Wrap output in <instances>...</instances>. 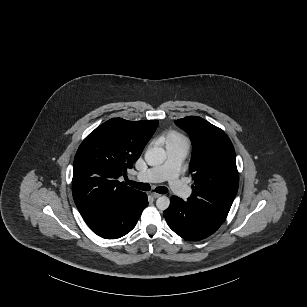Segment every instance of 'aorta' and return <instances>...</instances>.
<instances>
[{
  "label": "aorta",
  "mask_w": 307,
  "mask_h": 307,
  "mask_svg": "<svg viewBox=\"0 0 307 307\" xmlns=\"http://www.w3.org/2000/svg\"><path fill=\"white\" fill-rule=\"evenodd\" d=\"M145 160L150 166H159L166 160V150L162 147H151L145 153ZM169 204L170 200L166 196H161L156 201L159 210H166Z\"/></svg>",
  "instance_id": "762f6f07"
}]
</instances>
